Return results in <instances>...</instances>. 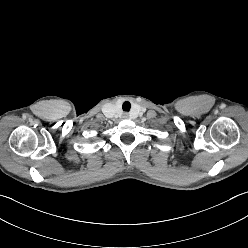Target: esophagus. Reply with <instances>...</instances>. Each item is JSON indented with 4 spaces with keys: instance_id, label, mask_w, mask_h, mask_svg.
Masks as SVG:
<instances>
[{
    "instance_id": "esophagus-1",
    "label": "esophagus",
    "mask_w": 248,
    "mask_h": 248,
    "mask_svg": "<svg viewBox=\"0 0 248 248\" xmlns=\"http://www.w3.org/2000/svg\"><path fill=\"white\" fill-rule=\"evenodd\" d=\"M124 118H129V114L128 113H125L124 114Z\"/></svg>"
}]
</instances>
